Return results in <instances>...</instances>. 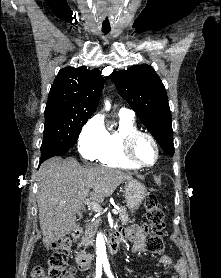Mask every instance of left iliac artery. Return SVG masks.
Wrapping results in <instances>:
<instances>
[{
  "instance_id": "1",
  "label": "left iliac artery",
  "mask_w": 221,
  "mask_h": 278,
  "mask_svg": "<svg viewBox=\"0 0 221 278\" xmlns=\"http://www.w3.org/2000/svg\"><path fill=\"white\" fill-rule=\"evenodd\" d=\"M103 267H104V270H105L107 276H108L109 278H114V276H113L112 273H111L109 263H108V262H104V263H103Z\"/></svg>"
}]
</instances>
